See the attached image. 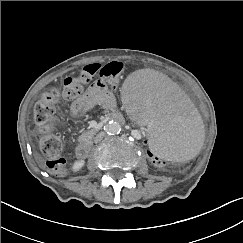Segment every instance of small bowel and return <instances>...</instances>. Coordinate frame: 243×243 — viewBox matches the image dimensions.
<instances>
[{"mask_svg": "<svg viewBox=\"0 0 243 243\" xmlns=\"http://www.w3.org/2000/svg\"><path fill=\"white\" fill-rule=\"evenodd\" d=\"M115 104L113 93L105 85L97 82L71 104V112L80 115L96 106L112 109Z\"/></svg>", "mask_w": 243, "mask_h": 243, "instance_id": "c3829d8e", "label": "small bowel"}]
</instances>
